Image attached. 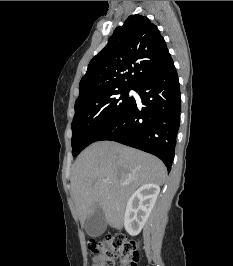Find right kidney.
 Returning <instances> with one entry per match:
<instances>
[{"label": "right kidney", "mask_w": 233, "mask_h": 266, "mask_svg": "<svg viewBox=\"0 0 233 266\" xmlns=\"http://www.w3.org/2000/svg\"><path fill=\"white\" fill-rule=\"evenodd\" d=\"M160 187L153 183L142 185L129 198L124 215V226L131 236H136L146 223L156 202Z\"/></svg>", "instance_id": "right-kidney-1"}]
</instances>
